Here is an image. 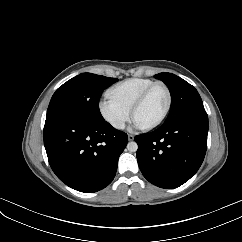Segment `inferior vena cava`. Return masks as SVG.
<instances>
[{
  "label": "inferior vena cava",
  "mask_w": 242,
  "mask_h": 242,
  "mask_svg": "<svg viewBox=\"0 0 242 242\" xmlns=\"http://www.w3.org/2000/svg\"><path fill=\"white\" fill-rule=\"evenodd\" d=\"M124 123H119L118 125H117V128H119V129H123L124 128Z\"/></svg>",
  "instance_id": "1"
}]
</instances>
